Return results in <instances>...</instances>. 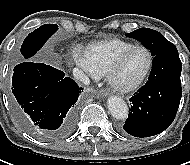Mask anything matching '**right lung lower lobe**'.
Masks as SVG:
<instances>
[{
    "label": "right lung lower lobe",
    "instance_id": "98d812e1",
    "mask_svg": "<svg viewBox=\"0 0 190 165\" xmlns=\"http://www.w3.org/2000/svg\"><path fill=\"white\" fill-rule=\"evenodd\" d=\"M82 90L62 71L28 60L14 67L11 103L28 130L42 129L47 137L60 139L74 129Z\"/></svg>",
    "mask_w": 190,
    "mask_h": 165
}]
</instances>
